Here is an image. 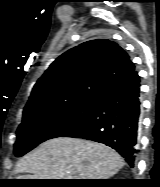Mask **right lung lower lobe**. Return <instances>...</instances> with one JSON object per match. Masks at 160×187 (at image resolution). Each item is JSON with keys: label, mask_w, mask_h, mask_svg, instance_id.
I'll return each instance as SVG.
<instances>
[{"label": "right lung lower lobe", "mask_w": 160, "mask_h": 187, "mask_svg": "<svg viewBox=\"0 0 160 187\" xmlns=\"http://www.w3.org/2000/svg\"><path fill=\"white\" fill-rule=\"evenodd\" d=\"M140 111V77L134 70L99 99L89 117L61 137L83 138L106 144L134 167L138 152Z\"/></svg>", "instance_id": "right-lung-lower-lobe-1"}]
</instances>
